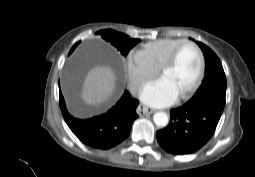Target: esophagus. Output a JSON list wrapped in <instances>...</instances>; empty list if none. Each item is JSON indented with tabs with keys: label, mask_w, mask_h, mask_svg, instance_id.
Masks as SVG:
<instances>
[{
	"label": "esophagus",
	"mask_w": 255,
	"mask_h": 177,
	"mask_svg": "<svg viewBox=\"0 0 255 177\" xmlns=\"http://www.w3.org/2000/svg\"><path fill=\"white\" fill-rule=\"evenodd\" d=\"M153 112H154L153 109L148 108V107L143 106V105H139L138 108H137V114L139 116L149 115V114H152Z\"/></svg>",
	"instance_id": "obj_1"
}]
</instances>
